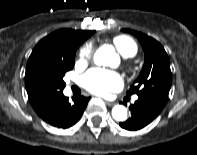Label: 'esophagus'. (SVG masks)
Instances as JSON below:
<instances>
[{"label": "esophagus", "mask_w": 197, "mask_h": 155, "mask_svg": "<svg viewBox=\"0 0 197 155\" xmlns=\"http://www.w3.org/2000/svg\"><path fill=\"white\" fill-rule=\"evenodd\" d=\"M105 103H106L108 106H113V105L115 104L114 102L107 101V100H105Z\"/></svg>", "instance_id": "34e87169"}]
</instances>
